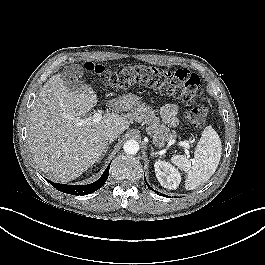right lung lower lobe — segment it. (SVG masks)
Here are the masks:
<instances>
[{
  "mask_svg": "<svg viewBox=\"0 0 265 265\" xmlns=\"http://www.w3.org/2000/svg\"><path fill=\"white\" fill-rule=\"evenodd\" d=\"M109 168L110 165L106 168L103 175L96 182L88 185H67V184L53 183L48 179H46V181L61 192L72 195H87L98 190L104 185V183L106 182L109 176Z\"/></svg>",
  "mask_w": 265,
  "mask_h": 265,
  "instance_id": "1",
  "label": "right lung lower lobe"
}]
</instances>
